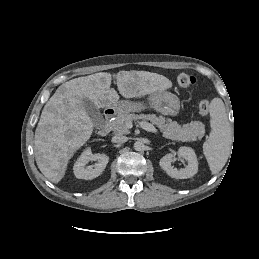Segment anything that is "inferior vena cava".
I'll return each mask as SVG.
<instances>
[{
  "mask_svg": "<svg viewBox=\"0 0 259 259\" xmlns=\"http://www.w3.org/2000/svg\"><path fill=\"white\" fill-rule=\"evenodd\" d=\"M127 140H128V138L126 136H123V135H115L112 138V141L114 143H125V142H127Z\"/></svg>",
  "mask_w": 259,
  "mask_h": 259,
  "instance_id": "inferior-vena-cava-1",
  "label": "inferior vena cava"
}]
</instances>
